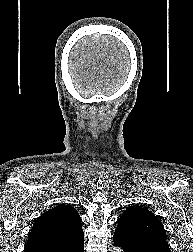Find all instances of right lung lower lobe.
I'll return each instance as SVG.
<instances>
[{"mask_svg":"<svg viewBox=\"0 0 193 252\" xmlns=\"http://www.w3.org/2000/svg\"><path fill=\"white\" fill-rule=\"evenodd\" d=\"M43 252H84V235L76 238L72 242L51 250H44Z\"/></svg>","mask_w":193,"mask_h":252,"instance_id":"obj_1","label":"right lung lower lobe"}]
</instances>
